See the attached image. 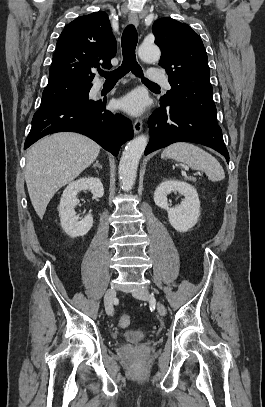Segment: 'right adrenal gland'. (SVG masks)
<instances>
[{
    "mask_svg": "<svg viewBox=\"0 0 265 407\" xmlns=\"http://www.w3.org/2000/svg\"><path fill=\"white\" fill-rule=\"evenodd\" d=\"M93 168L98 167L102 169V166L99 164V161H96V163L92 166Z\"/></svg>",
    "mask_w": 265,
    "mask_h": 407,
    "instance_id": "2a0ac1e0",
    "label": "right adrenal gland"
}]
</instances>
